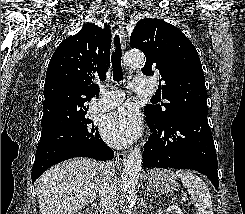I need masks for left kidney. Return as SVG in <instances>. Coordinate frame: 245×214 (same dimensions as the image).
Wrapping results in <instances>:
<instances>
[{"mask_svg":"<svg viewBox=\"0 0 245 214\" xmlns=\"http://www.w3.org/2000/svg\"><path fill=\"white\" fill-rule=\"evenodd\" d=\"M169 210L172 214H183L182 210L180 207L177 205H172L169 207Z\"/></svg>","mask_w":245,"mask_h":214,"instance_id":"left-kidney-1","label":"left kidney"}]
</instances>
